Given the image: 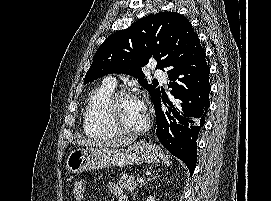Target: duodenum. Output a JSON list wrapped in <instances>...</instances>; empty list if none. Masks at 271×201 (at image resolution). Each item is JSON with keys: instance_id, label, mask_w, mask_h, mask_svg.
Returning a JSON list of instances; mask_svg holds the SVG:
<instances>
[{"instance_id": "duodenum-1", "label": "duodenum", "mask_w": 271, "mask_h": 201, "mask_svg": "<svg viewBox=\"0 0 271 201\" xmlns=\"http://www.w3.org/2000/svg\"><path fill=\"white\" fill-rule=\"evenodd\" d=\"M118 201H128L127 196L123 193L118 196Z\"/></svg>"}]
</instances>
